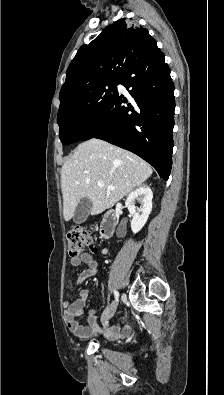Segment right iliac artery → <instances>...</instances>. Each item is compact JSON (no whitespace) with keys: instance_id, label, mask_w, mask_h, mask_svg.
Returning a JSON list of instances; mask_svg holds the SVG:
<instances>
[{"instance_id":"82829eb1","label":"right iliac artery","mask_w":224,"mask_h":395,"mask_svg":"<svg viewBox=\"0 0 224 395\" xmlns=\"http://www.w3.org/2000/svg\"><path fill=\"white\" fill-rule=\"evenodd\" d=\"M114 297H115V302H118L119 301V293L116 291V290H114ZM114 303V302H113ZM112 303V304H113ZM111 304V305H112Z\"/></svg>"}]
</instances>
